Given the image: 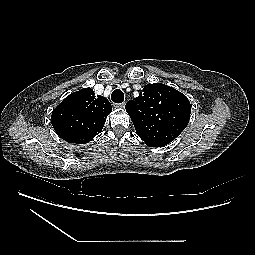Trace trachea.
I'll use <instances>...</instances> for the list:
<instances>
[{
	"mask_svg": "<svg viewBox=\"0 0 255 255\" xmlns=\"http://www.w3.org/2000/svg\"><path fill=\"white\" fill-rule=\"evenodd\" d=\"M114 103H122L124 101V94L120 89H115L111 95Z\"/></svg>",
	"mask_w": 255,
	"mask_h": 255,
	"instance_id": "obj_1",
	"label": "trachea"
}]
</instances>
